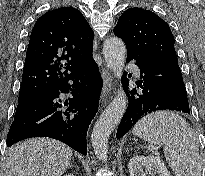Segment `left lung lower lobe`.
I'll return each instance as SVG.
<instances>
[{"label": "left lung lower lobe", "mask_w": 205, "mask_h": 176, "mask_svg": "<svg viewBox=\"0 0 205 176\" xmlns=\"http://www.w3.org/2000/svg\"><path fill=\"white\" fill-rule=\"evenodd\" d=\"M136 61L141 80L128 96L129 105L117 130V139L147 114L158 110H175L190 114L187 92L178 63L163 64L148 61L127 52L126 62ZM129 82L124 79V86Z\"/></svg>", "instance_id": "obj_1"}]
</instances>
